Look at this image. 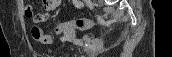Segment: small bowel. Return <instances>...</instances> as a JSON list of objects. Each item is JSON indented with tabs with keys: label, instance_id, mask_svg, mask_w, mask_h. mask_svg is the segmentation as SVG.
Returning <instances> with one entry per match:
<instances>
[{
	"label": "small bowel",
	"instance_id": "obj_1",
	"mask_svg": "<svg viewBox=\"0 0 172 57\" xmlns=\"http://www.w3.org/2000/svg\"><path fill=\"white\" fill-rule=\"evenodd\" d=\"M43 5L46 9V12L35 14L33 8L31 6H27L24 11V16L26 18H32L35 25L31 28V35L35 39V35L38 32H41L42 35L40 38L35 39L40 43L44 44H52L54 40V36L45 35L42 29L39 27L40 24L45 23L49 19V11L57 9L61 5V1L59 0H43ZM29 8L31 10V15L26 13V9Z\"/></svg>",
	"mask_w": 172,
	"mask_h": 57
}]
</instances>
